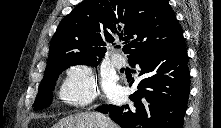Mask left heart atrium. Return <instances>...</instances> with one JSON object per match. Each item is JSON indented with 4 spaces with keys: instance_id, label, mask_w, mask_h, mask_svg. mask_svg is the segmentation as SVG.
Returning a JSON list of instances; mask_svg holds the SVG:
<instances>
[{
    "instance_id": "1",
    "label": "left heart atrium",
    "mask_w": 221,
    "mask_h": 128,
    "mask_svg": "<svg viewBox=\"0 0 221 128\" xmlns=\"http://www.w3.org/2000/svg\"><path fill=\"white\" fill-rule=\"evenodd\" d=\"M107 88L109 90V93L110 95H112L113 97H119L121 94H120V90L116 87H114L112 84H108L107 85Z\"/></svg>"
}]
</instances>
